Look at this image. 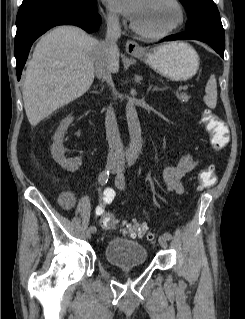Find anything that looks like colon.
Masks as SVG:
<instances>
[{"label":"colon","instance_id":"obj_1","mask_svg":"<svg viewBox=\"0 0 245 319\" xmlns=\"http://www.w3.org/2000/svg\"><path fill=\"white\" fill-rule=\"evenodd\" d=\"M203 123L209 134L210 145L215 151H222L228 144V132L226 125L210 110H206L203 114ZM216 168L211 165L200 172L198 176L199 187L201 189L213 186L216 183ZM62 206L66 209L70 208L74 203L71 193L65 192L61 196ZM102 227L107 231H114L118 225V219L112 214H106L101 221ZM123 232L132 238L146 237L152 240L154 235L148 232L145 224L125 222Z\"/></svg>","mask_w":245,"mask_h":319}]
</instances>
